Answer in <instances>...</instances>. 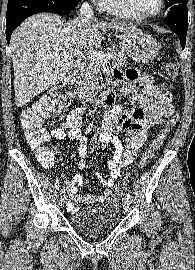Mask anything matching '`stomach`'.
I'll return each mask as SVG.
<instances>
[{
    "instance_id": "1",
    "label": "stomach",
    "mask_w": 195,
    "mask_h": 270,
    "mask_svg": "<svg viewBox=\"0 0 195 270\" xmlns=\"http://www.w3.org/2000/svg\"><path fill=\"white\" fill-rule=\"evenodd\" d=\"M122 49L138 63H148L159 51V43L150 35L140 31L123 32L117 35Z\"/></svg>"
}]
</instances>
